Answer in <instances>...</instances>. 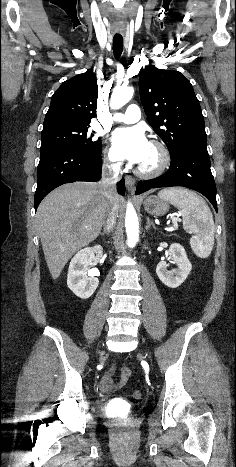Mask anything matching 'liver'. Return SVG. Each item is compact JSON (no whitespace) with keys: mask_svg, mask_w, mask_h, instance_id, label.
<instances>
[{"mask_svg":"<svg viewBox=\"0 0 236 467\" xmlns=\"http://www.w3.org/2000/svg\"><path fill=\"white\" fill-rule=\"evenodd\" d=\"M110 204L101 183L74 182L49 193L40 203L36 223L51 276L57 279L72 255L99 235Z\"/></svg>","mask_w":236,"mask_h":467,"instance_id":"6515ba94","label":"liver"}]
</instances>
